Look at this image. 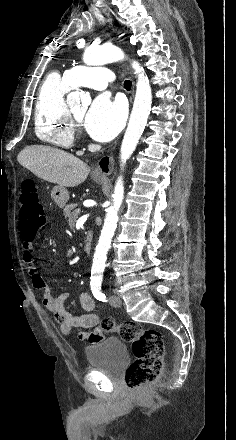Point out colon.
Returning <instances> with one entry per match:
<instances>
[{"instance_id":"obj_1","label":"colon","mask_w":236,"mask_h":440,"mask_svg":"<svg viewBox=\"0 0 236 440\" xmlns=\"http://www.w3.org/2000/svg\"><path fill=\"white\" fill-rule=\"evenodd\" d=\"M20 202V232L24 239L31 241L46 224L44 206L32 181L26 180L23 183ZM101 324L106 336L118 333L123 341L131 343L135 359L125 374L128 388L137 390L160 376L164 363V342L159 331L143 328L133 321L115 324L112 320L105 319Z\"/></svg>"}]
</instances>
